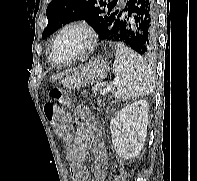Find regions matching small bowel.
<instances>
[{
  "label": "small bowel",
  "instance_id": "c3829d8e",
  "mask_svg": "<svg viewBox=\"0 0 197 181\" xmlns=\"http://www.w3.org/2000/svg\"><path fill=\"white\" fill-rule=\"evenodd\" d=\"M76 132L70 124L63 135L65 158L70 163L72 181H104L107 171V154L101 129L93 114L84 106L75 110ZM93 156V166L89 172L84 161L88 152Z\"/></svg>",
  "mask_w": 197,
  "mask_h": 181
}]
</instances>
